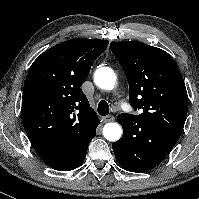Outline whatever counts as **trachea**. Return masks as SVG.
Masks as SVG:
<instances>
[{"mask_svg": "<svg viewBox=\"0 0 199 199\" xmlns=\"http://www.w3.org/2000/svg\"><path fill=\"white\" fill-rule=\"evenodd\" d=\"M109 111L110 109L108 103L105 100H101L98 104V113L101 116H106L109 114Z\"/></svg>", "mask_w": 199, "mask_h": 199, "instance_id": "obj_1", "label": "trachea"}]
</instances>
